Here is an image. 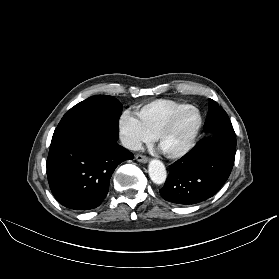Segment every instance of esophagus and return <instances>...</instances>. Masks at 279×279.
<instances>
[{
    "instance_id": "esophagus-1",
    "label": "esophagus",
    "mask_w": 279,
    "mask_h": 279,
    "mask_svg": "<svg viewBox=\"0 0 279 279\" xmlns=\"http://www.w3.org/2000/svg\"><path fill=\"white\" fill-rule=\"evenodd\" d=\"M135 158H136V160L138 161V162H141V163H147L148 162V157H146V156H144V155H141V154H137L136 156H135Z\"/></svg>"
}]
</instances>
